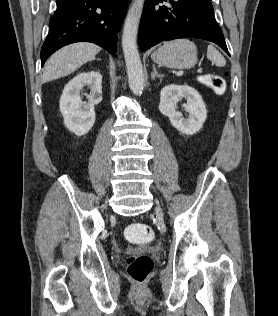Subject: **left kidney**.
I'll list each match as a JSON object with an SVG mask.
<instances>
[{
	"mask_svg": "<svg viewBox=\"0 0 278 316\" xmlns=\"http://www.w3.org/2000/svg\"><path fill=\"white\" fill-rule=\"evenodd\" d=\"M181 98L187 100L185 110L189 113L184 118L176 111V105ZM160 112L170 119L171 124L181 133L193 135L203 126L207 118V110L200 94L188 85H168L160 93Z\"/></svg>",
	"mask_w": 278,
	"mask_h": 316,
	"instance_id": "obj_1",
	"label": "left kidney"
}]
</instances>
